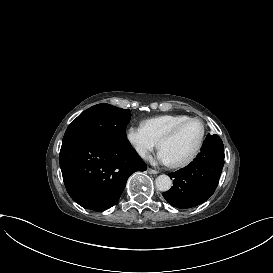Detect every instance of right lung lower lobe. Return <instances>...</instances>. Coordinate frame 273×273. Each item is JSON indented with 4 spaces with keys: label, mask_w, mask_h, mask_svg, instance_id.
Wrapping results in <instances>:
<instances>
[{
    "label": "right lung lower lobe",
    "mask_w": 273,
    "mask_h": 273,
    "mask_svg": "<svg viewBox=\"0 0 273 273\" xmlns=\"http://www.w3.org/2000/svg\"><path fill=\"white\" fill-rule=\"evenodd\" d=\"M59 161L70 197L93 211L111 208L120 198L128 177L147 168L131 146L91 139L62 143Z\"/></svg>",
    "instance_id": "1"
}]
</instances>
